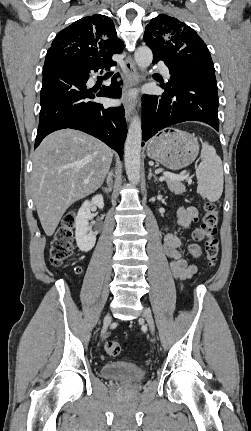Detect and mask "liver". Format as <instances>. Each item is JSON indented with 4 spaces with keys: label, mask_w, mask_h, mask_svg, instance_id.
<instances>
[{
    "label": "liver",
    "mask_w": 251,
    "mask_h": 431,
    "mask_svg": "<svg viewBox=\"0 0 251 431\" xmlns=\"http://www.w3.org/2000/svg\"><path fill=\"white\" fill-rule=\"evenodd\" d=\"M112 158L113 151L105 143L73 129L56 131L42 141L34 154L31 182L47 236L53 235L73 203L102 185Z\"/></svg>",
    "instance_id": "obj_1"
}]
</instances>
